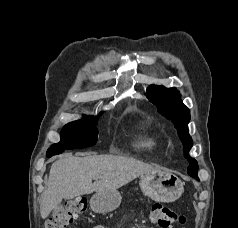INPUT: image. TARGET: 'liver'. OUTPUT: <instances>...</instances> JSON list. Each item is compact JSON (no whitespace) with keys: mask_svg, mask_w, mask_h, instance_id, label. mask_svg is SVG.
Wrapping results in <instances>:
<instances>
[{"mask_svg":"<svg viewBox=\"0 0 238 228\" xmlns=\"http://www.w3.org/2000/svg\"><path fill=\"white\" fill-rule=\"evenodd\" d=\"M155 171L160 170L125 156L62 157L51 166L47 189L40 203L41 217L46 219L63 199H73L93 192L114 191L143 174Z\"/></svg>","mask_w":238,"mask_h":228,"instance_id":"liver-1","label":"liver"}]
</instances>
